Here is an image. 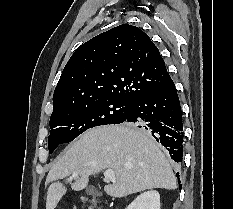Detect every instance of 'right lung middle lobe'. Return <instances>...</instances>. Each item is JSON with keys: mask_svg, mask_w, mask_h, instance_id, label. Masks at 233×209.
<instances>
[{"mask_svg": "<svg viewBox=\"0 0 233 209\" xmlns=\"http://www.w3.org/2000/svg\"><path fill=\"white\" fill-rule=\"evenodd\" d=\"M131 104V101L125 99L109 98L80 106L65 113L51 115V131L48 137L49 153H53L58 145L74 140L89 128L122 123Z\"/></svg>", "mask_w": 233, "mask_h": 209, "instance_id": "right-lung-middle-lobe-1", "label": "right lung middle lobe"}]
</instances>
